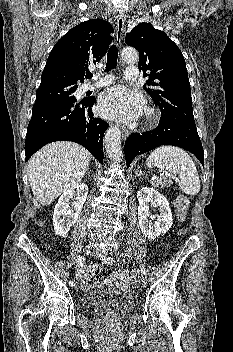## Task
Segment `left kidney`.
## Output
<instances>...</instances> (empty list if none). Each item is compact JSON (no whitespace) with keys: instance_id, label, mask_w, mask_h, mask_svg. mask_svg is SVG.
Masks as SVG:
<instances>
[{"instance_id":"1","label":"left kidney","mask_w":233,"mask_h":352,"mask_svg":"<svg viewBox=\"0 0 233 352\" xmlns=\"http://www.w3.org/2000/svg\"><path fill=\"white\" fill-rule=\"evenodd\" d=\"M139 201L138 219L142 233L148 239H156L159 235L165 234L172 226V212L167 199L156 189L142 187L137 192ZM153 202L154 207H159L160 214L157 215V221L152 223V216L149 214L147 203Z\"/></svg>"}]
</instances>
